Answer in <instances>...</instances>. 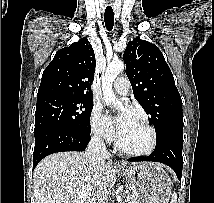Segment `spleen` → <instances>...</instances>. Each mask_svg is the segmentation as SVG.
I'll return each mask as SVG.
<instances>
[{
	"label": "spleen",
	"instance_id": "spleen-1",
	"mask_svg": "<svg viewBox=\"0 0 214 203\" xmlns=\"http://www.w3.org/2000/svg\"><path fill=\"white\" fill-rule=\"evenodd\" d=\"M171 203H177V194H176V193H173V194H172Z\"/></svg>",
	"mask_w": 214,
	"mask_h": 203
}]
</instances>
